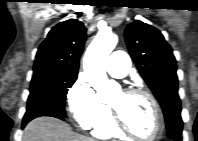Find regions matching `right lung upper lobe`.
<instances>
[{
  "mask_svg": "<svg viewBox=\"0 0 198 141\" xmlns=\"http://www.w3.org/2000/svg\"><path fill=\"white\" fill-rule=\"evenodd\" d=\"M86 40L83 23L70 19L54 26L36 54L33 72L78 74Z\"/></svg>",
  "mask_w": 198,
  "mask_h": 141,
  "instance_id": "1",
  "label": "right lung upper lobe"
}]
</instances>
